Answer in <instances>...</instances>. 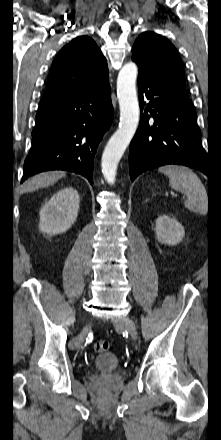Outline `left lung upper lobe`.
Segmentation results:
<instances>
[{"instance_id": "1", "label": "left lung upper lobe", "mask_w": 221, "mask_h": 440, "mask_svg": "<svg viewBox=\"0 0 221 440\" xmlns=\"http://www.w3.org/2000/svg\"><path fill=\"white\" fill-rule=\"evenodd\" d=\"M132 60L143 73L187 95L182 60L165 37L142 33L132 47Z\"/></svg>"}]
</instances>
